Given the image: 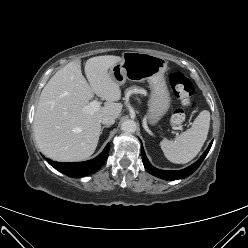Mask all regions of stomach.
Wrapping results in <instances>:
<instances>
[{
	"mask_svg": "<svg viewBox=\"0 0 248 248\" xmlns=\"http://www.w3.org/2000/svg\"><path fill=\"white\" fill-rule=\"evenodd\" d=\"M167 62L162 57L144 52H125L122 60L110 68V73L118 85L127 80L131 82L147 81L150 86L148 121L155 125L170 107V93L165 81Z\"/></svg>",
	"mask_w": 248,
	"mask_h": 248,
	"instance_id": "1",
	"label": "stomach"
}]
</instances>
